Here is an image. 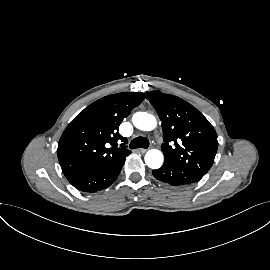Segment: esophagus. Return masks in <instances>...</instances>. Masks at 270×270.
<instances>
[{"label": "esophagus", "instance_id": "34e87169", "mask_svg": "<svg viewBox=\"0 0 270 270\" xmlns=\"http://www.w3.org/2000/svg\"><path fill=\"white\" fill-rule=\"evenodd\" d=\"M146 151H147V149H144V148L138 149V152H139V153H142V154H144Z\"/></svg>", "mask_w": 270, "mask_h": 270}]
</instances>
